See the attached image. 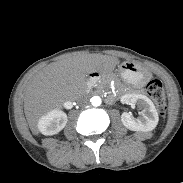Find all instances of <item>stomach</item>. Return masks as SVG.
<instances>
[{"label": "stomach", "mask_w": 183, "mask_h": 183, "mask_svg": "<svg viewBox=\"0 0 183 183\" xmlns=\"http://www.w3.org/2000/svg\"><path fill=\"white\" fill-rule=\"evenodd\" d=\"M120 70L125 82L132 87L144 86L150 76L145 68L132 62H124Z\"/></svg>", "instance_id": "stomach-1"}]
</instances>
